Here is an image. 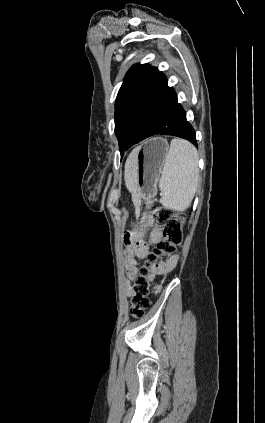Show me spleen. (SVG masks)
Instances as JSON below:
<instances>
[{
  "mask_svg": "<svg viewBox=\"0 0 265 423\" xmlns=\"http://www.w3.org/2000/svg\"><path fill=\"white\" fill-rule=\"evenodd\" d=\"M199 181L196 148L183 139H172L159 180L160 203L167 209L186 210Z\"/></svg>",
  "mask_w": 265,
  "mask_h": 423,
  "instance_id": "1",
  "label": "spleen"
}]
</instances>
